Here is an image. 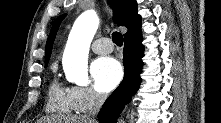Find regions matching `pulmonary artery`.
Here are the masks:
<instances>
[{
    "instance_id": "obj_1",
    "label": "pulmonary artery",
    "mask_w": 221,
    "mask_h": 123,
    "mask_svg": "<svg viewBox=\"0 0 221 123\" xmlns=\"http://www.w3.org/2000/svg\"><path fill=\"white\" fill-rule=\"evenodd\" d=\"M92 50L98 54H107L112 52L113 44L109 38H99L93 42Z\"/></svg>"
}]
</instances>
